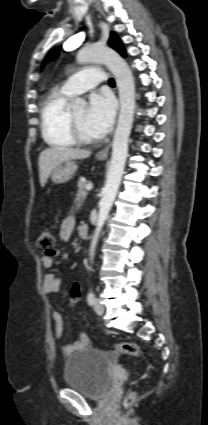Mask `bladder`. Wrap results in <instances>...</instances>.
I'll list each match as a JSON object with an SVG mask.
<instances>
[{
    "label": "bladder",
    "mask_w": 208,
    "mask_h": 425,
    "mask_svg": "<svg viewBox=\"0 0 208 425\" xmlns=\"http://www.w3.org/2000/svg\"><path fill=\"white\" fill-rule=\"evenodd\" d=\"M114 363V355L106 350L87 347L75 351L67 359L64 382L88 398H102L111 386Z\"/></svg>",
    "instance_id": "1"
}]
</instances>
